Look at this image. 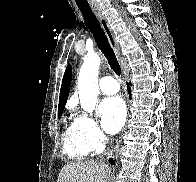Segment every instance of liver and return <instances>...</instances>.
Wrapping results in <instances>:
<instances>
[{
	"label": "liver",
	"mask_w": 196,
	"mask_h": 182,
	"mask_svg": "<svg viewBox=\"0 0 196 182\" xmlns=\"http://www.w3.org/2000/svg\"><path fill=\"white\" fill-rule=\"evenodd\" d=\"M111 169L105 163L81 161L64 165L57 182H107Z\"/></svg>",
	"instance_id": "1"
}]
</instances>
